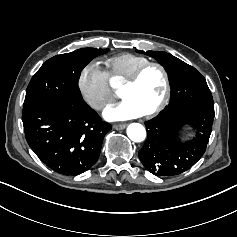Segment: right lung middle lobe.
<instances>
[{"label":"right lung middle lobe","instance_id":"1","mask_svg":"<svg viewBox=\"0 0 237 237\" xmlns=\"http://www.w3.org/2000/svg\"><path fill=\"white\" fill-rule=\"evenodd\" d=\"M108 51L82 48L44 62L27 87L23 111L52 101L82 99L78 89L80 72L93 58Z\"/></svg>","mask_w":237,"mask_h":237}]
</instances>
